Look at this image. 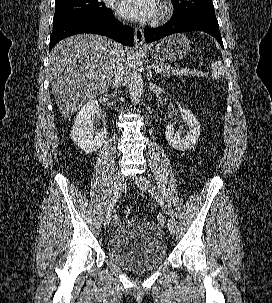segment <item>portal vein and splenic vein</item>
<instances>
[{"mask_svg":"<svg viewBox=\"0 0 272 303\" xmlns=\"http://www.w3.org/2000/svg\"><path fill=\"white\" fill-rule=\"evenodd\" d=\"M155 71H156V73H160V72L162 71V69L159 68V67H156V68H155Z\"/></svg>","mask_w":272,"mask_h":303,"instance_id":"obj_1","label":"portal vein and splenic vein"}]
</instances>
